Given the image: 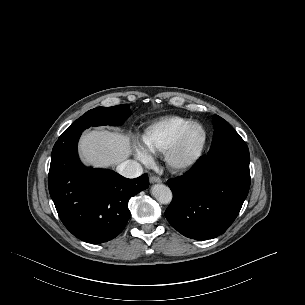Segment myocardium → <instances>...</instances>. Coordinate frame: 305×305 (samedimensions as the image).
<instances>
[{"label": "myocardium", "instance_id": "1", "mask_svg": "<svg viewBox=\"0 0 305 305\" xmlns=\"http://www.w3.org/2000/svg\"><path fill=\"white\" fill-rule=\"evenodd\" d=\"M200 128L203 131V139L199 147L190 154L184 153L185 142L188 134L194 128ZM209 141V134L206 127L199 122H192L185 127L179 134L175 142L166 151L165 159L168 167L176 172L190 170L198 164L203 157Z\"/></svg>", "mask_w": 305, "mask_h": 305}]
</instances>
